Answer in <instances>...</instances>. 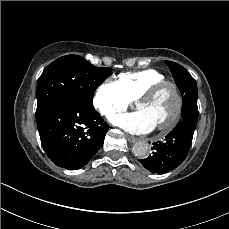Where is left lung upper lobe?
I'll list each match as a JSON object with an SVG mask.
<instances>
[{
  "label": "left lung upper lobe",
  "instance_id": "1",
  "mask_svg": "<svg viewBox=\"0 0 229 229\" xmlns=\"http://www.w3.org/2000/svg\"><path fill=\"white\" fill-rule=\"evenodd\" d=\"M166 64L169 66L175 83L183 97L190 94H198L196 81L184 67L171 61H166ZM182 120H185L183 114Z\"/></svg>",
  "mask_w": 229,
  "mask_h": 229
}]
</instances>
